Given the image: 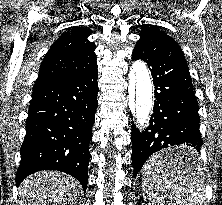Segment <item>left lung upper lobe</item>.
I'll return each instance as SVG.
<instances>
[{"instance_id":"left-lung-upper-lobe-1","label":"left lung upper lobe","mask_w":222,"mask_h":205,"mask_svg":"<svg viewBox=\"0 0 222 205\" xmlns=\"http://www.w3.org/2000/svg\"><path fill=\"white\" fill-rule=\"evenodd\" d=\"M154 35L168 36L162 31H160L157 26H144L140 32V36H154Z\"/></svg>"}]
</instances>
